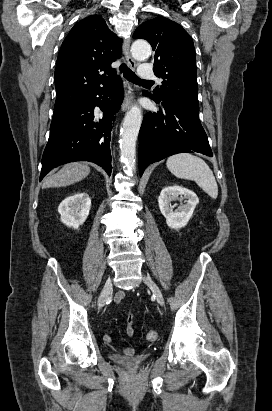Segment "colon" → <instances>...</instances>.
I'll list each match as a JSON object with an SVG mask.
<instances>
[{
  "label": "colon",
  "mask_w": 272,
  "mask_h": 411,
  "mask_svg": "<svg viewBox=\"0 0 272 411\" xmlns=\"http://www.w3.org/2000/svg\"><path fill=\"white\" fill-rule=\"evenodd\" d=\"M158 339V332L156 330H150L146 334V340L148 342H155Z\"/></svg>",
  "instance_id": "colon-1"
}]
</instances>
